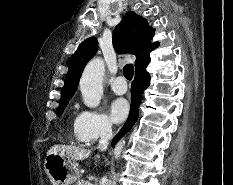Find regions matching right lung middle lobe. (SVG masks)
<instances>
[{"mask_svg":"<svg viewBox=\"0 0 233 185\" xmlns=\"http://www.w3.org/2000/svg\"><path fill=\"white\" fill-rule=\"evenodd\" d=\"M67 104H68V101H62V102H60L59 107H58V115L62 114V112L64 111V109L67 106Z\"/></svg>","mask_w":233,"mask_h":185,"instance_id":"right-lung-middle-lobe-1","label":"right lung middle lobe"}]
</instances>
